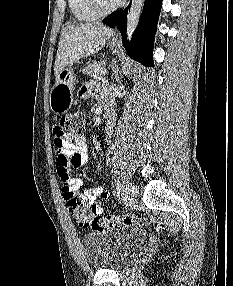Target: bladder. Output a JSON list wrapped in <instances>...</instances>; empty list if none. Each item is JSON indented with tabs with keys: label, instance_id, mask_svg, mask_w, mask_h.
Instances as JSON below:
<instances>
[{
	"label": "bladder",
	"instance_id": "obj_1",
	"mask_svg": "<svg viewBox=\"0 0 233 286\" xmlns=\"http://www.w3.org/2000/svg\"><path fill=\"white\" fill-rule=\"evenodd\" d=\"M143 238L144 233L136 228L91 233L83 237V252L92 269H119L136 255Z\"/></svg>",
	"mask_w": 233,
	"mask_h": 286
}]
</instances>
